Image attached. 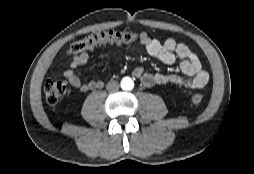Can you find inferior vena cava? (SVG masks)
<instances>
[{
    "mask_svg": "<svg viewBox=\"0 0 254 174\" xmlns=\"http://www.w3.org/2000/svg\"><path fill=\"white\" fill-rule=\"evenodd\" d=\"M108 91H114L119 89V83L117 81H110L106 85Z\"/></svg>",
    "mask_w": 254,
    "mask_h": 174,
    "instance_id": "inferior-vena-cava-1",
    "label": "inferior vena cava"
}]
</instances>
